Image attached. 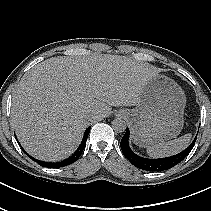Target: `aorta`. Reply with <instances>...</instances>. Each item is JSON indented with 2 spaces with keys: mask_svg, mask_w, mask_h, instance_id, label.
Here are the masks:
<instances>
[{
  "mask_svg": "<svg viewBox=\"0 0 211 211\" xmlns=\"http://www.w3.org/2000/svg\"><path fill=\"white\" fill-rule=\"evenodd\" d=\"M112 128L115 132H124L126 130V123L122 119H115L112 121Z\"/></svg>",
  "mask_w": 211,
  "mask_h": 211,
  "instance_id": "obj_1",
  "label": "aorta"
}]
</instances>
